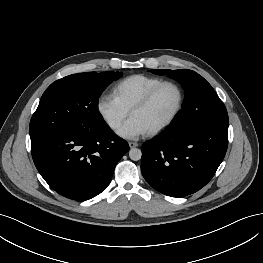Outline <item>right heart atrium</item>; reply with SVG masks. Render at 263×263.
I'll list each match as a JSON object with an SVG mask.
<instances>
[{
  "label": "right heart atrium",
  "mask_w": 263,
  "mask_h": 263,
  "mask_svg": "<svg viewBox=\"0 0 263 263\" xmlns=\"http://www.w3.org/2000/svg\"><path fill=\"white\" fill-rule=\"evenodd\" d=\"M97 111L104 123L112 130H116L129 113L109 94H103L98 98Z\"/></svg>",
  "instance_id": "right-heart-atrium-1"
}]
</instances>
